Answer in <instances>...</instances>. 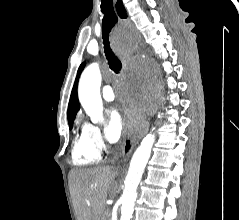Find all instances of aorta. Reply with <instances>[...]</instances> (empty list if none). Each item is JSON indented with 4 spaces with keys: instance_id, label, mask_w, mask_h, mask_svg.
Listing matches in <instances>:
<instances>
[{
    "instance_id": "1",
    "label": "aorta",
    "mask_w": 239,
    "mask_h": 220,
    "mask_svg": "<svg viewBox=\"0 0 239 220\" xmlns=\"http://www.w3.org/2000/svg\"><path fill=\"white\" fill-rule=\"evenodd\" d=\"M117 40H135V33H118ZM135 46V45H118ZM101 74L97 63L89 65L79 81V101L93 123H97L103 115V104L100 95ZM155 134H148L135 151L124 181V191L121 196L120 220H131L134 210L137 188L144 173L146 164L151 156L155 143Z\"/></svg>"
}]
</instances>
